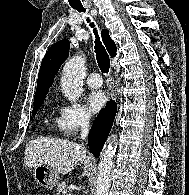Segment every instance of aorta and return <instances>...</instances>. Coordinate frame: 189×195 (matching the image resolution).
<instances>
[{"instance_id": "762f6f07", "label": "aorta", "mask_w": 189, "mask_h": 195, "mask_svg": "<svg viewBox=\"0 0 189 195\" xmlns=\"http://www.w3.org/2000/svg\"><path fill=\"white\" fill-rule=\"evenodd\" d=\"M85 70V59L81 56H75L65 63L61 75V86L63 95L69 101L75 102L81 97ZM116 147L115 137L109 138L98 165L95 195H108Z\"/></svg>"}]
</instances>
